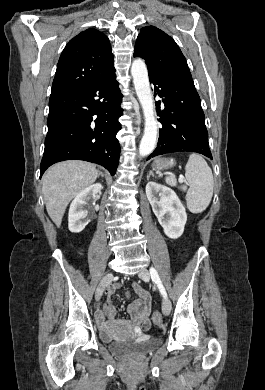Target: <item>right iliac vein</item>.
I'll return each mask as SVG.
<instances>
[{
  "label": "right iliac vein",
  "instance_id": "obj_1",
  "mask_svg": "<svg viewBox=\"0 0 265 390\" xmlns=\"http://www.w3.org/2000/svg\"><path fill=\"white\" fill-rule=\"evenodd\" d=\"M113 278V274L112 273H107L103 279L101 280L100 284L98 285V288H97V291H96V294H95V298L97 301L100 300L105 288L107 287V285L109 284V282L111 281V279Z\"/></svg>",
  "mask_w": 265,
  "mask_h": 390
}]
</instances>
